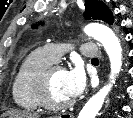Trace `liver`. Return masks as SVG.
<instances>
[{
  "label": "liver",
  "instance_id": "obj_1",
  "mask_svg": "<svg viewBox=\"0 0 133 118\" xmlns=\"http://www.w3.org/2000/svg\"><path fill=\"white\" fill-rule=\"evenodd\" d=\"M3 116H10V118H40L39 114L37 113H29L20 110H11L3 114Z\"/></svg>",
  "mask_w": 133,
  "mask_h": 118
}]
</instances>
